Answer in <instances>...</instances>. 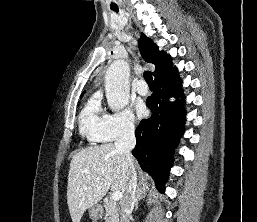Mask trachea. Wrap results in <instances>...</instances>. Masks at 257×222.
Instances as JSON below:
<instances>
[{"mask_svg":"<svg viewBox=\"0 0 257 222\" xmlns=\"http://www.w3.org/2000/svg\"><path fill=\"white\" fill-rule=\"evenodd\" d=\"M115 12L118 13V10H114ZM144 79L147 82L149 87H153V77L152 74L149 71H145L144 74Z\"/></svg>","mask_w":257,"mask_h":222,"instance_id":"1","label":"trachea"}]
</instances>
